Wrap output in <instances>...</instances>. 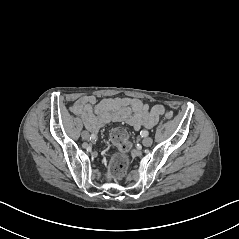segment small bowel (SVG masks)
I'll use <instances>...</instances> for the list:
<instances>
[{"instance_id":"1","label":"small bowel","mask_w":239,"mask_h":239,"mask_svg":"<svg viewBox=\"0 0 239 239\" xmlns=\"http://www.w3.org/2000/svg\"><path fill=\"white\" fill-rule=\"evenodd\" d=\"M85 127L92 133L111 122H125L135 130L154 126L164 113L162 105H149L130 97H114L97 100L94 96H83L71 107Z\"/></svg>"}]
</instances>
